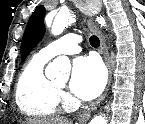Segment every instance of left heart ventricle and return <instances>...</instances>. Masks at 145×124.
Wrapping results in <instances>:
<instances>
[{"instance_id":"b2bd125f","label":"left heart ventricle","mask_w":145,"mask_h":124,"mask_svg":"<svg viewBox=\"0 0 145 124\" xmlns=\"http://www.w3.org/2000/svg\"><path fill=\"white\" fill-rule=\"evenodd\" d=\"M55 82H56L57 84L61 85V86H65L66 83H67V77L61 78V79H57Z\"/></svg>"}]
</instances>
